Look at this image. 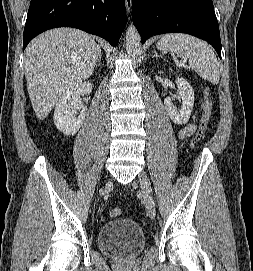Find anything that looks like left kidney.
Here are the masks:
<instances>
[{"mask_svg": "<svg viewBox=\"0 0 253 271\" xmlns=\"http://www.w3.org/2000/svg\"><path fill=\"white\" fill-rule=\"evenodd\" d=\"M176 84L178 87L177 99L181 100V108H177L173 104V97L164 99L165 109L171 120L178 125L186 124L189 121L193 106H194V91L188 81L183 78H177Z\"/></svg>", "mask_w": 253, "mask_h": 271, "instance_id": "obj_1", "label": "left kidney"}]
</instances>
